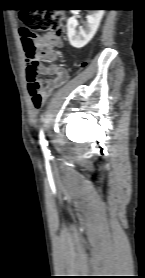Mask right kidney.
Listing matches in <instances>:
<instances>
[{"label":"right kidney","mask_w":145,"mask_h":278,"mask_svg":"<svg viewBox=\"0 0 145 278\" xmlns=\"http://www.w3.org/2000/svg\"><path fill=\"white\" fill-rule=\"evenodd\" d=\"M73 16L67 21V35L71 46L76 49L84 47L95 35L104 10H88L87 21L83 28L77 30L79 10H71Z\"/></svg>","instance_id":"1"}]
</instances>
